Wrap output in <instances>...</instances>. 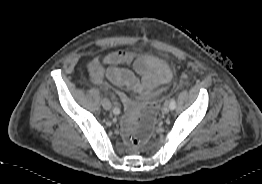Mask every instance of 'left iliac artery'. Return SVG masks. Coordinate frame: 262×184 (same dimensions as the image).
I'll list each match as a JSON object with an SVG mask.
<instances>
[{
    "label": "left iliac artery",
    "instance_id": "1",
    "mask_svg": "<svg viewBox=\"0 0 262 184\" xmlns=\"http://www.w3.org/2000/svg\"><path fill=\"white\" fill-rule=\"evenodd\" d=\"M175 107H176V101H175V98H172L170 101V109L174 110Z\"/></svg>",
    "mask_w": 262,
    "mask_h": 184
}]
</instances>
